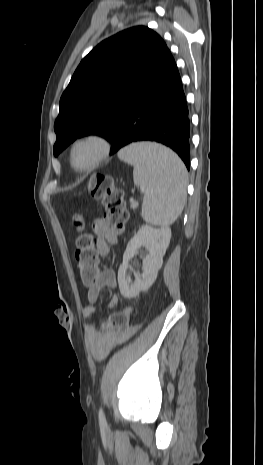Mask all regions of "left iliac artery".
<instances>
[{"mask_svg": "<svg viewBox=\"0 0 263 465\" xmlns=\"http://www.w3.org/2000/svg\"><path fill=\"white\" fill-rule=\"evenodd\" d=\"M99 422L101 425H106V419L102 408L99 409Z\"/></svg>", "mask_w": 263, "mask_h": 465, "instance_id": "obj_1", "label": "left iliac artery"}]
</instances>
